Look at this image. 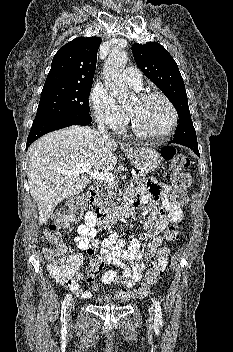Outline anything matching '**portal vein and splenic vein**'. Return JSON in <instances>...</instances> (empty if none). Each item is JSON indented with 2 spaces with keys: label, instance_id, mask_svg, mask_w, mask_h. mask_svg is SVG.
Masks as SVG:
<instances>
[{
  "label": "portal vein and splenic vein",
  "instance_id": "1",
  "mask_svg": "<svg viewBox=\"0 0 233 352\" xmlns=\"http://www.w3.org/2000/svg\"><path fill=\"white\" fill-rule=\"evenodd\" d=\"M61 172L68 175H79L81 173H88L92 178L97 180H103L108 182L115 181V176L112 173L91 171V167L89 164H79L72 170H62ZM132 175H135V173L132 172Z\"/></svg>",
  "mask_w": 233,
  "mask_h": 352
}]
</instances>
